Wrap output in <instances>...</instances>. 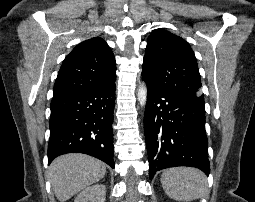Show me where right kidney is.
Here are the masks:
<instances>
[{"instance_id":"obj_1","label":"right kidney","mask_w":255,"mask_h":202,"mask_svg":"<svg viewBox=\"0 0 255 202\" xmlns=\"http://www.w3.org/2000/svg\"><path fill=\"white\" fill-rule=\"evenodd\" d=\"M106 187L103 184H96L85 188L75 198L74 202H105Z\"/></svg>"}]
</instances>
